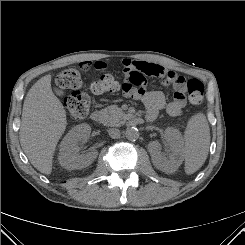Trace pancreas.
Instances as JSON below:
<instances>
[{
    "mask_svg": "<svg viewBox=\"0 0 245 245\" xmlns=\"http://www.w3.org/2000/svg\"><path fill=\"white\" fill-rule=\"evenodd\" d=\"M102 123L106 126H119L124 123L126 115L116 105L101 110Z\"/></svg>",
    "mask_w": 245,
    "mask_h": 245,
    "instance_id": "1",
    "label": "pancreas"
}]
</instances>
